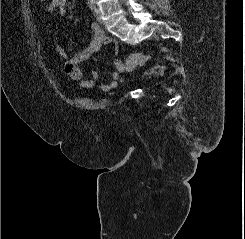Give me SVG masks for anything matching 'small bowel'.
Wrapping results in <instances>:
<instances>
[{"instance_id":"obj_1","label":"small bowel","mask_w":245,"mask_h":239,"mask_svg":"<svg viewBox=\"0 0 245 239\" xmlns=\"http://www.w3.org/2000/svg\"><path fill=\"white\" fill-rule=\"evenodd\" d=\"M67 0H51L48 3V11L54 13L59 12L64 14ZM114 45L116 54H118V44L113 38L107 37L102 28L93 23L91 25V37L83 47V49L71 57H67L65 51L61 47H57L58 54L65 59L64 71L73 81L79 82V85L84 89L94 88L99 81V73L92 71L88 79H83V73L79 65L88 60L102 46ZM111 64L115 71L111 73L109 80L100 85V89L104 92H109L115 89L123 80L122 75L125 73V65L118 59H111Z\"/></svg>"}]
</instances>
